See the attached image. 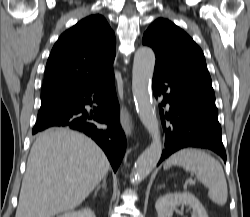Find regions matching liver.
<instances>
[{
    "label": "liver",
    "mask_w": 250,
    "mask_h": 217,
    "mask_svg": "<svg viewBox=\"0 0 250 217\" xmlns=\"http://www.w3.org/2000/svg\"><path fill=\"white\" fill-rule=\"evenodd\" d=\"M104 152L87 136L52 128L37 136L15 217H53L79 206L106 177Z\"/></svg>",
    "instance_id": "liver-1"
}]
</instances>
